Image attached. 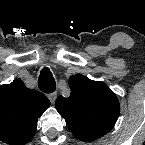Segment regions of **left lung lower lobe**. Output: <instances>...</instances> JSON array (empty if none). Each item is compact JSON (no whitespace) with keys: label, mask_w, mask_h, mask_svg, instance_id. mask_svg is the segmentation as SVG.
Masks as SVG:
<instances>
[{"label":"left lung lower lobe","mask_w":145,"mask_h":145,"mask_svg":"<svg viewBox=\"0 0 145 145\" xmlns=\"http://www.w3.org/2000/svg\"><path fill=\"white\" fill-rule=\"evenodd\" d=\"M107 131H74L73 134L82 141H92L95 140L104 134Z\"/></svg>","instance_id":"0a47b994"}]
</instances>
